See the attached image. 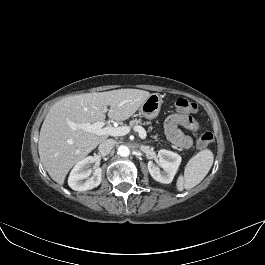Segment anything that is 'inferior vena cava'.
I'll list each match as a JSON object with an SVG mask.
<instances>
[{
	"instance_id": "1",
	"label": "inferior vena cava",
	"mask_w": 265,
	"mask_h": 265,
	"mask_svg": "<svg viewBox=\"0 0 265 265\" xmlns=\"http://www.w3.org/2000/svg\"><path fill=\"white\" fill-rule=\"evenodd\" d=\"M115 144H116V141L115 140H113V139H106L98 147L99 154L100 155H103V156L109 154Z\"/></svg>"
}]
</instances>
